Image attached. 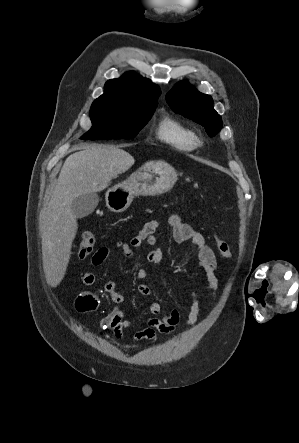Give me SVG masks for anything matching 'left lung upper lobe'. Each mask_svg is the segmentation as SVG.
<instances>
[{"label":"left lung upper lobe","mask_w":299,"mask_h":443,"mask_svg":"<svg viewBox=\"0 0 299 443\" xmlns=\"http://www.w3.org/2000/svg\"><path fill=\"white\" fill-rule=\"evenodd\" d=\"M166 101L175 113L204 126L209 136L220 131L222 119L213 109L211 96L200 93L188 81L177 83L166 95Z\"/></svg>","instance_id":"5c2ea615"}]
</instances>
